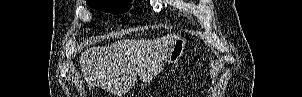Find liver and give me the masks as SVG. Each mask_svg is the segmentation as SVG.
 Masks as SVG:
<instances>
[{"instance_id":"1","label":"liver","mask_w":302,"mask_h":97,"mask_svg":"<svg viewBox=\"0 0 302 97\" xmlns=\"http://www.w3.org/2000/svg\"><path fill=\"white\" fill-rule=\"evenodd\" d=\"M178 37L170 34L153 40L124 39L86 49L80 65L89 90L98 87L122 97L135 84V72L146 77V70L158 74L163 69Z\"/></svg>"}]
</instances>
